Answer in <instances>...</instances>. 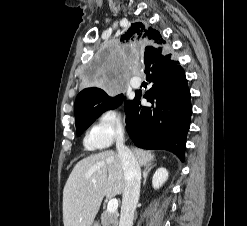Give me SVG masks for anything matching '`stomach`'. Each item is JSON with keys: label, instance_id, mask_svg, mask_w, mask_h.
I'll list each match as a JSON object with an SVG mask.
<instances>
[{"label": "stomach", "instance_id": "0dacf381", "mask_svg": "<svg viewBox=\"0 0 247 226\" xmlns=\"http://www.w3.org/2000/svg\"><path fill=\"white\" fill-rule=\"evenodd\" d=\"M92 226H98L97 224H93Z\"/></svg>", "mask_w": 247, "mask_h": 226}]
</instances>
